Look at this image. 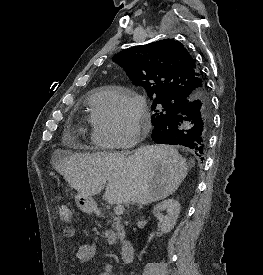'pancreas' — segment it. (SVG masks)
Returning a JSON list of instances; mask_svg holds the SVG:
<instances>
[{
	"mask_svg": "<svg viewBox=\"0 0 263 275\" xmlns=\"http://www.w3.org/2000/svg\"><path fill=\"white\" fill-rule=\"evenodd\" d=\"M112 227L115 228V230L117 231L116 233L112 229L105 232V236L107 237V241L109 244H113L116 242V239L119 237L120 231L122 229L120 221L117 218H114Z\"/></svg>",
	"mask_w": 263,
	"mask_h": 275,
	"instance_id": "cf45deb5",
	"label": "pancreas"
}]
</instances>
